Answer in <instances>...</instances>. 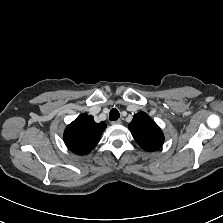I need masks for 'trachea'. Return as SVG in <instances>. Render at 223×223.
<instances>
[{
	"label": "trachea",
	"instance_id": "obj_1",
	"mask_svg": "<svg viewBox=\"0 0 223 223\" xmlns=\"http://www.w3.org/2000/svg\"><path fill=\"white\" fill-rule=\"evenodd\" d=\"M119 117H120V113L118 112V110L115 108L111 109L109 113V119L111 121H114V120H118Z\"/></svg>",
	"mask_w": 223,
	"mask_h": 223
}]
</instances>
